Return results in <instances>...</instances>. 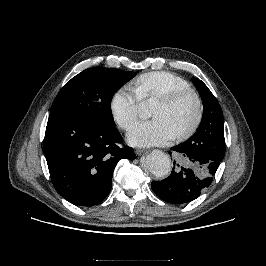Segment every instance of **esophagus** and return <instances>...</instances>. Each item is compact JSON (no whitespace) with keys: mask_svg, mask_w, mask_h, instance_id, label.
<instances>
[{"mask_svg":"<svg viewBox=\"0 0 266 266\" xmlns=\"http://www.w3.org/2000/svg\"><path fill=\"white\" fill-rule=\"evenodd\" d=\"M146 152V150L145 149H135V153H136V155H138V156H140V155H142L143 153H145Z\"/></svg>","mask_w":266,"mask_h":266,"instance_id":"esophagus-1","label":"esophagus"}]
</instances>
